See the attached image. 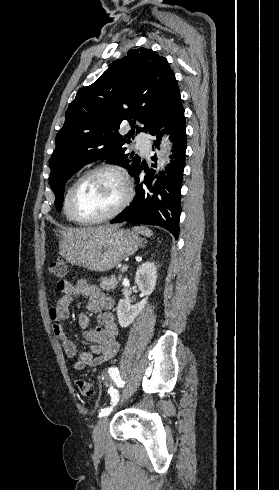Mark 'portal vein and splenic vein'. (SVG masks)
<instances>
[{
    "label": "portal vein and splenic vein",
    "mask_w": 279,
    "mask_h": 490,
    "mask_svg": "<svg viewBox=\"0 0 279 490\" xmlns=\"http://www.w3.org/2000/svg\"><path fill=\"white\" fill-rule=\"evenodd\" d=\"M128 270V266H123V268H121V272H127Z\"/></svg>",
    "instance_id": "portal-vein-and-splenic-vein-1"
}]
</instances>
